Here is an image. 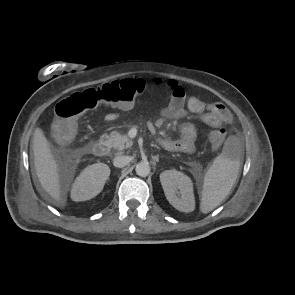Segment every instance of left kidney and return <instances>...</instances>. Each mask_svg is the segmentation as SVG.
<instances>
[{"label":"left kidney","mask_w":295,"mask_h":295,"mask_svg":"<svg viewBox=\"0 0 295 295\" xmlns=\"http://www.w3.org/2000/svg\"><path fill=\"white\" fill-rule=\"evenodd\" d=\"M160 182L169 203L181 212H191L195 208L193 183L182 172L175 169L160 174Z\"/></svg>","instance_id":"obj_1"}]
</instances>
